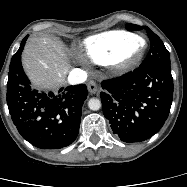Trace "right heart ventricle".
<instances>
[{
    "label": "right heart ventricle",
    "instance_id": "1",
    "mask_svg": "<svg viewBox=\"0 0 187 187\" xmlns=\"http://www.w3.org/2000/svg\"><path fill=\"white\" fill-rule=\"evenodd\" d=\"M143 39L133 33L116 30L91 36L84 41V48L92 61L112 65L122 60Z\"/></svg>",
    "mask_w": 187,
    "mask_h": 187
}]
</instances>
